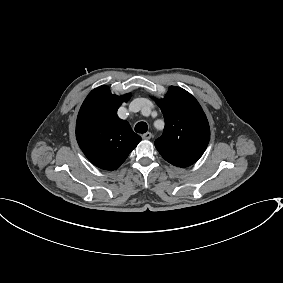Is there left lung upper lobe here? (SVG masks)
<instances>
[{
	"mask_svg": "<svg viewBox=\"0 0 283 283\" xmlns=\"http://www.w3.org/2000/svg\"><path fill=\"white\" fill-rule=\"evenodd\" d=\"M165 128L155 146L172 165L188 167L204 153L210 140L209 123L198 101L186 90L171 86L163 99H155Z\"/></svg>",
	"mask_w": 283,
	"mask_h": 283,
	"instance_id": "left-lung-upper-lobe-1",
	"label": "left lung upper lobe"
}]
</instances>
